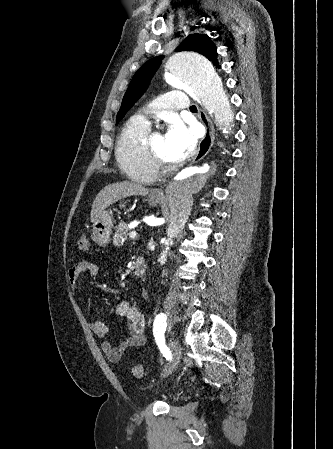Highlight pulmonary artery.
Segmentation results:
<instances>
[{"instance_id":"obj_1","label":"pulmonary artery","mask_w":333,"mask_h":449,"mask_svg":"<svg viewBox=\"0 0 333 449\" xmlns=\"http://www.w3.org/2000/svg\"><path fill=\"white\" fill-rule=\"evenodd\" d=\"M157 106L172 110L188 109L190 107V102L184 91L172 90L159 98ZM140 119L146 124H149L147 114L140 115Z\"/></svg>"}]
</instances>
